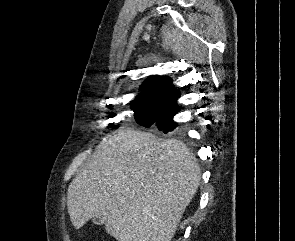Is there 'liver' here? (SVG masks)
<instances>
[{
	"instance_id": "6515ba94",
	"label": "liver",
	"mask_w": 295,
	"mask_h": 241,
	"mask_svg": "<svg viewBox=\"0 0 295 241\" xmlns=\"http://www.w3.org/2000/svg\"><path fill=\"white\" fill-rule=\"evenodd\" d=\"M200 179L184 143L124 128L70 183L67 209L76 229L99 217L117 241H171Z\"/></svg>"
}]
</instances>
